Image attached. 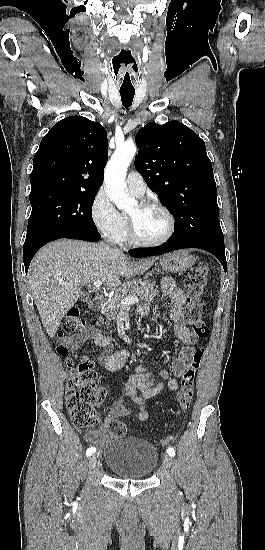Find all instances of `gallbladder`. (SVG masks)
I'll list each match as a JSON object with an SVG mask.
<instances>
[{
	"label": "gallbladder",
	"mask_w": 265,
	"mask_h": 550,
	"mask_svg": "<svg viewBox=\"0 0 265 550\" xmlns=\"http://www.w3.org/2000/svg\"><path fill=\"white\" fill-rule=\"evenodd\" d=\"M90 300L89 294H82L81 295V301L88 302Z\"/></svg>",
	"instance_id": "bac80fb5"
}]
</instances>
